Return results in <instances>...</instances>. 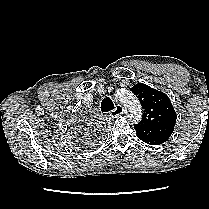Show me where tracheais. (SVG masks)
Here are the masks:
<instances>
[{
	"instance_id": "obj_1",
	"label": "trachea",
	"mask_w": 209,
	"mask_h": 209,
	"mask_svg": "<svg viewBox=\"0 0 209 209\" xmlns=\"http://www.w3.org/2000/svg\"><path fill=\"white\" fill-rule=\"evenodd\" d=\"M113 109H114L113 101L109 97L104 98L101 102V111L109 112Z\"/></svg>"
}]
</instances>
